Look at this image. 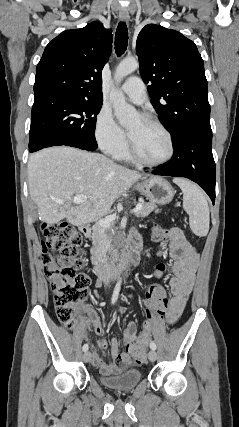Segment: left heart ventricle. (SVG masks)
<instances>
[{
  "label": "left heart ventricle",
  "mask_w": 239,
  "mask_h": 427,
  "mask_svg": "<svg viewBox=\"0 0 239 427\" xmlns=\"http://www.w3.org/2000/svg\"><path fill=\"white\" fill-rule=\"evenodd\" d=\"M137 152L148 161L164 159L169 153L166 135L156 126L145 122L140 116L134 117L126 126Z\"/></svg>",
  "instance_id": "1"
}]
</instances>
